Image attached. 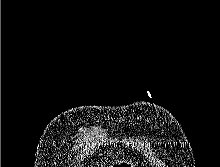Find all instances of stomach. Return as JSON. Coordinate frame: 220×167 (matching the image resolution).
I'll use <instances>...</instances> for the list:
<instances>
[{
	"mask_svg": "<svg viewBox=\"0 0 220 167\" xmlns=\"http://www.w3.org/2000/svg\"><path fill=\"white\" fill-rule=\"evenodd\" d=\"M110 167H134L131 161L128 160H116Z\"/></svg>",
	"mask_w": 220,
	"mask_h": 167,
	"instance_id": "stomach-1",
	"label": "stomach"
}]
</instances>
